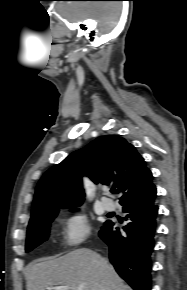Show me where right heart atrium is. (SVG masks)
Here are the masks:
<instances>
[{
    "label": "right heart atrium",
    "instance_id": "right-heart-atrium-1",
    "mask_svg": "<svg viewBox=\"0 0 187 290\" xmlns=\"http://www.w3.org/2000/svg\"><path fill=\"white\" fill-rule=\"evenodd\" d=\"M63 240L68 248L81 245L90 234V225L83 212H73L66 215L62 221Z\"/></svg>",
    "mask_w": 187,
    "mask_h": 290
}]
</instances>
